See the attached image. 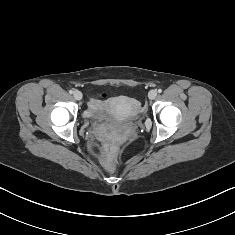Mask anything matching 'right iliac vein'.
Listing matches in <instances>:
<instances>
[{
    "mask_svg": "<svg viewBox=\"0 0 235 235\" xmlns=\"http://www.w3.org/2000/svg\"><path fill=\"white\" fill-rule=\"evenodd\" d=\"M73 95H74V98L76 100H81L82 99V93L79 90H75Z\"/></svg>",
    "mask_w": 235,
    "mask_h": 235,
    "instance_id": "obj_1",
    "label": "right iliac vein"
}]
</instances>
